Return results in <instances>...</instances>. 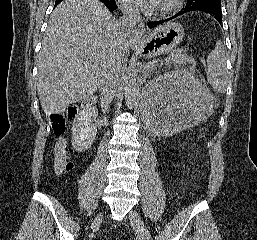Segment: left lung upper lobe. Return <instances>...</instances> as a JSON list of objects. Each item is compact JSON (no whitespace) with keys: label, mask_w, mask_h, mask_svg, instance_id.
I'll return each instance as SVG.
<instances>
[{"label":"left lung upper lobe","mask_w":257,"mask_h":240,"mask_svg":"<svg viewBox=\"0 0 257 240\" xmlns=\"http://www.w3.org/2000/svg\"><path fill=\"white\" fill-rule=\"evenodd\" d=\"M218 5L221 6L220 0H187L186 6L188 8H196L202 6Z\"/></svg>","instance_id":"5c2ea615"}]
</instances>
